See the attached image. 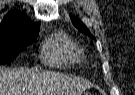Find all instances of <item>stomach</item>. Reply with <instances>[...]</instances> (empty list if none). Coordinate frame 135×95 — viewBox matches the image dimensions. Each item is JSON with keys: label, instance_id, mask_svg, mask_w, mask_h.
Masks as SVG:
<instances>
[{"label": "stomach", "instance_id": "1", "mask_svg": "<svg viewBox=\"0 0 135 95\" xmlns=\"http://www.w3.org/2000/svg\"><path fill=\"white\" fill-rule=\"evenodd\" d=\"M80 95H91L89 92H83V94Z\"/></svg>", "mask_w": 135, "mask_h": 95}]
</instances>
